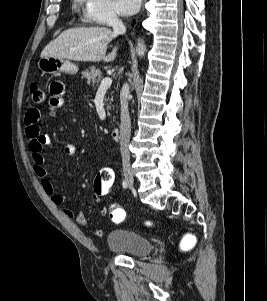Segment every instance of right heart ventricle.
<instances>
[{
    "label": "right heart ventricle",
    "instance_id": "right-heart-ventricle-1",
    "mask_svg": "<svg viewBox=\"0 0 267 301\" xmlns=\"http://www.w3.org/2000/svg\"><path fill=\"white\" fill-rule=\"evenodd\" d=\"M83 0H74L75 2V8L79 7L81 5Z\"/></svg>",
    "mask_w": 267,
    "mask_h": 301
}]
</instances>
